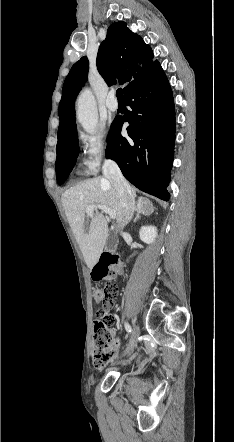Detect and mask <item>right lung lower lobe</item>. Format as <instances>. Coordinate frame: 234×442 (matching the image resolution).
Instances as JSON below:
<instances>
[{
    "label": "right lung lower lobe",
    "mask_w": 234,
    "mask_h": 442,
    "mask_svg": "<svg viewBox=\"0 0 234 442\" xmlns=\"http://www.w3.org/2000/svg\"><path fill=\"white\" fill-rule=\"evenodd\" d=\"M131 111L115 118L107 139L106 155L125 178L140 190L168 201L167 187L173 163L175 109L173 95L160 64L134 79L124 92ZM129 122V138L121 135Z\"/></svg>",
    "instance_id": "1"
}]
</instances>
